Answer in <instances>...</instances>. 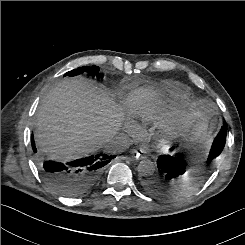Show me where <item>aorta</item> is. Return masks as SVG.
Wrapping results in <instances>:
<instances>
[{"instance_id":"aorta-1","label":"aorta","mask_w":245,"mask_h":245,"mask_svg":"<svg viewBox=\"0 0 245 245\" xmlns=\"http://www.w3.org/2000/svg\"><path fill=\"white\" fill-rule=\"evenodd\" d=\"M137 170L140 175L147 177V176H151L154 173L155 166L151 160L145 159L140 161Z\"/></svg>"}]
</instances>
